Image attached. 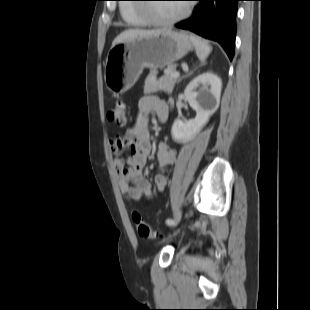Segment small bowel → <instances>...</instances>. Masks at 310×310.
Listing matches in <instances>:
<instances>
[{
    "mask_svg": "<svg viewBox=\"0 0 310 310\" xmlns=\"http://www.w3.org/2000/svg\"><path fill=\"white\" fill-rule=\"evenodd\" d=\"M155 114L164 122L168 116L166 103L156 96L146 95L138 101V114L132 126L123 134L116 135L109 141L113 153V162L118 176L119 188L128 201H141L143 197L152 199L154 192L150 181L144 176L143 169L151 151L148 120ZM128 148L130 157L123 158V150ZM159 172L155 176L157 190L163 192L167 186L164 170L177 161V152L166 142H160L157 148Z\"/></svg>",
    "mask_w": 310,
    "mask_h": 310,
    "instance_id": "small-bowel-1",
    "label": "small bowel"
}]
</instances>
